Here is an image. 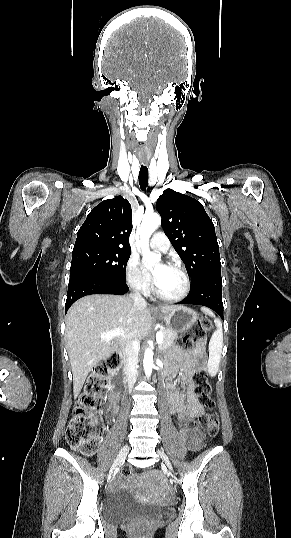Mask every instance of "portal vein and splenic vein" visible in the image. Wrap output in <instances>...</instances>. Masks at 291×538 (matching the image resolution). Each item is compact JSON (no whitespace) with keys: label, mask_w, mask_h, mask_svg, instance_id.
<instances>
[{"label":"portal vein and splenic vein","mask_w":291,"mask_h":538,"mask_svg":"<svg viewBox=\"0 0 291 538\" xmlns=\"http://www.w3.org/2000/svg\"><path fill=\"white\" fill-rule=\"evenodd\" d=\"M120 335H123V332L121 330H113V331L101 334V338L105 340H110L113 337L120 336ZM156 341H157V344H161L163 342L162 332L159 331L156 333Z\"/></svg>","instance_id":"obj_1"}]
</instances>
